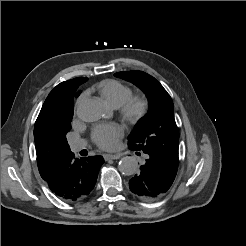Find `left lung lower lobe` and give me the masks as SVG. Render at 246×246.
Wrapping results in <instances>:
<instances>
[{
	"mask_svg": "<svg viewBox=\"0 0 246 246\" xmlns=\"http://www.w3.org/2000/svg\"><path fill=\"white\" fill-rule=\"evenodd\" d=\"M146 162L140 167V172L129 181L130 190L143 200L155 199L171 187L178 170V162L148 151Z\"/></svg>",
	"mask_w": 246,
	"mask_h": 246,
	"instance_id": "1",
	"label": "left lung lower lobe"
}]
</instances>
